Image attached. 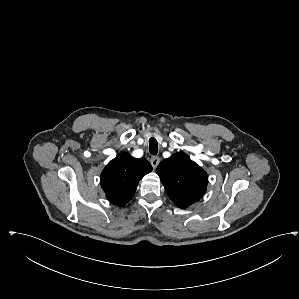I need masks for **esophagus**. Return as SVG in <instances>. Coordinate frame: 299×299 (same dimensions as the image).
<instances>
[{"label": "esophagus", "instance_id": "esophagus-1", "mask_svg": "<svg viewBox=\"0 0 299 299\" xmlns=\"http://www.w3.org/2000/svg\"><path fill=\"white\" fill-rule=\"evenodd\" d=\"M150 163L153 166V168H156L158 166V164L160 163V158L157 156H153L150 160Z\"/></svg>", "mask_w": 299, "mask_h": 299}]
</instances>
